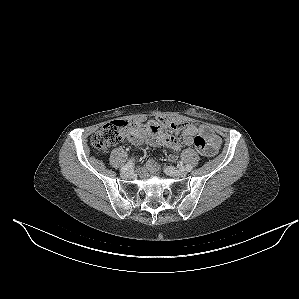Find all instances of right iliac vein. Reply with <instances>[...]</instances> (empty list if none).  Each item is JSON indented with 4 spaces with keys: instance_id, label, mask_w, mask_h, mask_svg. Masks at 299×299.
I'll return each instance as SVG.
<instances>
[{
    "instance_id": "obj_1",
    "label": "right iliac vein",
    "mask_w": 299,
    "mask_h": 299,
    "mask_svg": "<svg viewBox=\"0 0 299 299\" xmlns=\"http://www.w3.org/2000/svg\"><path fill=\"white\" fill-rule=\"evenodd\" d=\"M121 177H122V178H129V177H131V173L128 172V171H126V172H122V173H121Z\"/></svg>"
}]
</instances>
